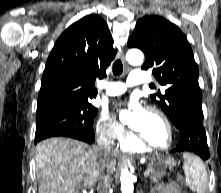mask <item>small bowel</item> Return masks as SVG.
Here are the masks:
<instances>
[{
  "label": "small bowel",
  "instance_id": "1",
  "mask_svg": "<svg viewBox=\"0 0 221 193\" xmlns=\"http://www.w3.org/2000/svg\"><path fill=\"white\" fill-rule=\"evenodd\" d=\"M152 193H184L177 184H165L156 187Z\"/></svg>",
  "mask_w": 221,
  "mask_h": 193
}]
</instances>
